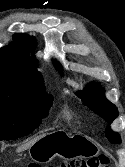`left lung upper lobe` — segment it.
Wrapping results in <instances>:
<instances>
[{
  "mask_svg": "<svg viewBox=\"0 0 125 167\" xmlns=\"http://www.w3.org/2000/svg\"><path fill=\"white\" fill-rule=\"evenodd\" d=\"M82 102L95 113L102 116L109 124L118 116L117 108L104 96V90L99 84H92L77 94ZM106 136L112 143H120V135L112 132L109 126L106 129Z\"/></svg>",
  "mask_w": 125,
  "mask_h": 167,
  "instance_id": "1",
  "label": "left lung upper lobe"
}]
</instances>
